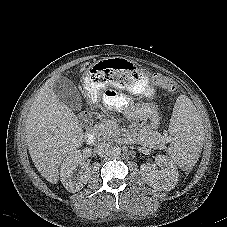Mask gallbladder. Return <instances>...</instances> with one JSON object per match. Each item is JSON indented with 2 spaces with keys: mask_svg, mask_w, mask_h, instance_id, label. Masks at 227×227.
I'll use <instances>...</instances> for the list:
<instances>
[{
  "mask_svg": "<svg viewBox=\"0 0 227 227\" xmlns=\"http://www.w3.org/2000/svg\"><path fill=\"white\" fill-rule=\"evenodd\" d=\"M53 90L58 99L71 110L82 107L81 95L73 82L64 76H59L53 84Z\"/></svg>",
  "mask_w": 227,
  "mask_h": 227,
  "instance_id": "obj_1",
  "label": "gallbladder"
}]
</instances>
